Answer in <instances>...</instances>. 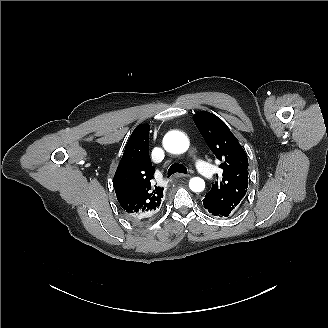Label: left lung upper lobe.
I'll list each match as a JSON object with an SVG mask.
<instances>
[{
	"mask_svg": "<svg viewBox=\"0 0 328 328\" xmlns=\"http://www.w3.org/2000/svg\"><path fill=\"white\" fill-rule=\"evenodd\" d=\"M194 122L207 145L222 162L219 182L212 184L203 199L211 210L229 216L244 198L248 187V158L228 126L216 115L201 111Z\"/></svg>",
	"mask_w": 328,
	"mask_h": 328,
	"instance_id": "obj_1",
	"label": "left lung upper lobe"
}]
</instances>
